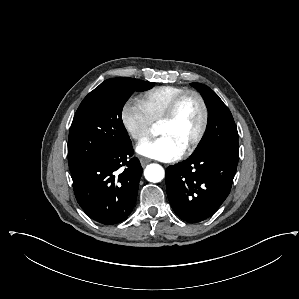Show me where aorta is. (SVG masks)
I'll return each mask as SVG.
<instances>
[{"instance_id": "obj_1", "label": "aorta", "mask_w": 299, "mask_h": 299, "mask_svg": "<svg viewBox=\"0 0 299 299\" xmlns=\"http://www.w3.org/2000/svg\"><path fill=\"white\" fill-rule=\"evenodd\" d=\"M144 176L147 181L152 183L161 182L165 177V171L158 164H150L144 170Z\"/></svg>"}]
</instances>
